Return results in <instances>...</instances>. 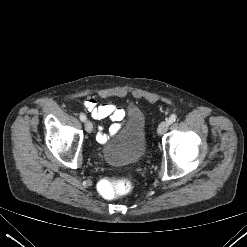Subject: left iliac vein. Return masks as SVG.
<instances>
[{
	"label": "left iliac vein",
	"instance_id": "obj_1",
	"mask_svg": "<svg viewBox=\"0 0 247 247\" xmlns=\"http://www.w3.org/2000/svg\"><path fill=\"white\" fill-rule=\"evenodd\" d=\"M168 127H169L168 121L161 122L160 125L158 126V130H157L158 134L159 135L164 134L167 131Z\"/></svg>",
	"mask_w": 247,
	"mask_h": 247
}]
</instances>
